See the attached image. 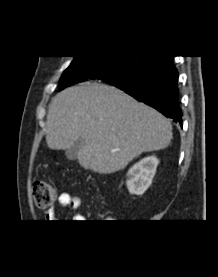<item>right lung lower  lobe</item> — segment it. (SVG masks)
<instances>
[{"mask_svg": "<svg viewBox=\"0 0 218 277\" xmlns=\"http://www.w3.org/2000/svg\"><path fill=\"white\" fill-rule=\"evenodd\" d=\"M100 78L101 76L94 72L83 76V80H100ZM177 82L178 72L173 63V56H156L133 79L114 86L155 108L182 126Z\"/></svg>", "mask_w": 218, "mask_h": 277, "instance_id": "1", "label": "right lung lower lobe"}]
</instances>
